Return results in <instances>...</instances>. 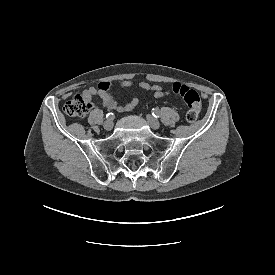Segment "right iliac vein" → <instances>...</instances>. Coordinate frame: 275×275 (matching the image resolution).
<instances>
[{"label": "right iliac vein", "mask_w": 275, "mask_h": 275, "mask_svg": "<svg viewBox=\"0 0 275 275\" xmlns=\"http://www.w3.org/2000/svg\"><path fill=\"white\" fill-rule=\"evenodd\" d=\"M103 126H104V129H106L107 131H110L113 128V121L107 120Z\"/></svg>", "instance_id": "1"}]
</instances>
